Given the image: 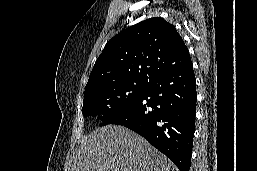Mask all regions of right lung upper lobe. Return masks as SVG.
I'll return each instance as SVG.
<instances>
[{
  "instance_id": "cb5924a9",
  "label": "right lung upper lobe",
  "mask_w": 257,
  "mask_h": 171,
  "mask_svg": "<svg viewBox=\"0 0 257 171\" xmlns=\"http://www.w3.org/2000/svg\"><path fill=\"white\" fill-rule=\"evenodd\" d=\"M191 61L176 28L163 18L137 23L110 39L89 76L85 92L108 85L151 83Z\"/></svg>"
}]
</instances>
